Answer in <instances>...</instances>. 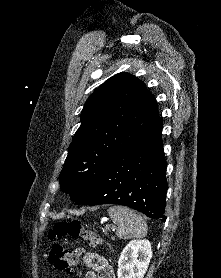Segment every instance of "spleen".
Masks as SVG:
<instances>
[{"label": "spleen", "mask_w": 221, "mask_h": 278, "mask_svg": "<svg viewBox=\"0 0 221 278\" xmlns=\"http://www.w3.org/2000/svg\"><path fill=\"white\" fill-rule=\"evenodd\" d=\"M108 214L117 225L116 235L120 239L142 238L147 234V224L133 210L123 206H112Z\"/></svg>", "instance_id": "obj_1"}]
</instances>
